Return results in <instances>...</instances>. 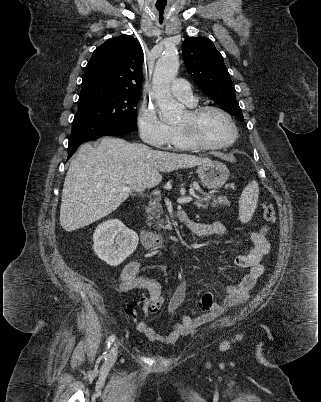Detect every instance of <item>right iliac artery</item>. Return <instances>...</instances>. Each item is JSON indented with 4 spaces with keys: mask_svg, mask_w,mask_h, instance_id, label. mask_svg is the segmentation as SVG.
I'll return each mask as SVG.
<instances>
[{
    "mask_svg": "<svg viewBox=\"0 0 321 402\" xmlns=\"http://www.w3.org/2000/svg\"><path fill=\"white\" fill-rule=\"evenodd\" d=\"M115 338H116L115 335H111L106 341V351L103 353L105 359L107 358L108 355L107 350L109 349L110 345L114 342Z\"/></svg>",
    "mask_w": 321,
    "mask_h": 402,
    "instance_id": "82829eb1",
    "label": "right iliac artery"
}]
</instances>
